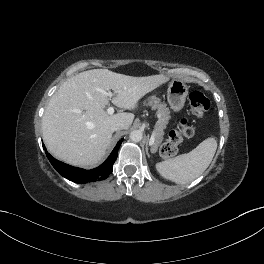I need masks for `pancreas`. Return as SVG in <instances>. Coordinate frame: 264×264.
I'll use <instances>...</instances> for the list:
<instances>
[{
	"instance_id": "obj_1",
	"label": "pancreas",
	"mask_w": 264,
	"mask_h": 264,
	"mask_svg": "<svg viewBox=\"0 0 264 264\" xmlns=\"http://www.w3.org/2000/svg\"><path fill=\"white\" fill-rule=\"evenodd\" d=\"M153 110H157L158 121L155 125V140L152 145V152H156L158 147L161 145L164 135V129L170 119V111L166 107L165 103L160 102V99L153 96L148 99V103Z\"/></svg>"
}]
</instances>
